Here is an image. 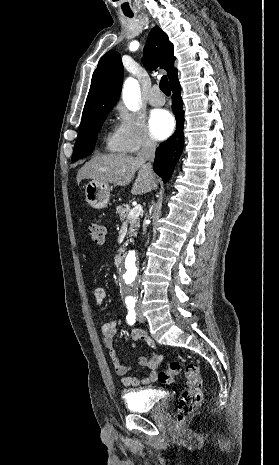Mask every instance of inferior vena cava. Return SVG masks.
<instances>
[{
    "mask_svg": "<svg viewBox=\"0 0 279 465\" xmlns=\"http://www.w3.org/2000/svg\"><path fill=\"white\" fill-rule=\"evenodd\" d=\"M155 150H156V142L150 137H145L141 150L138 153V158L144 163L147 161V163H145V166L150 171H152L151 162L155 158ZM145 232H146V227L144 228V233Z\"/></svg>",
    "mask_w": 279,
    "mask_h": 465,
    "instance_id": "inferior-vena-cava-1",
    "label": "inferior vena cava"
}]
</instances>
